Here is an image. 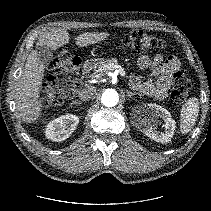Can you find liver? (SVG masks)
Listing matches in <instances>:
<instances>
[{
	"label": "liver",
	"instance_id": "6515ba94",
	"mask_svg": "<svg viewBox=\"0 0 211 211\" xmlns=\"http://www.w3.org/2000/svg\"><path fill=\"white\" fill-rule=\"evenodd\" d=\"M109 36L106 32H87L80 34L76 45L80 47L95 44ZM69 43V33L64 29H53L44 33L36 43V47L46 45L53 50ZM45 65L37 56L36 50L28 55L22 74L11 91L15 100L19 117L26 123L37 120L42 111L40 91L42 89Z\"/></svg>",
	"mask_w": 211,
	"mask_h": 211
}]
</instances>
